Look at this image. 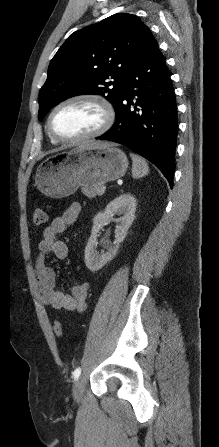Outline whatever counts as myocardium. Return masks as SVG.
Wrapping results in <instances>:
<instances>
[{"mask_svg": "<svg viewBox=\"0 0 219 447\" xmlns=\"http://www.w3.org/2000/svg\"><path fill=\"white\" fill-rule=\"evenodd\" d=\"M74 103H89V104L96 106L102 114V121H101L100 125L95 130L91 131L90 133H88L86 135L75 137V138L61 137L58 134H56L55 131L53 130V127H52L53 117L58 110H60L61 108L65 107L67 105L74 104ZM114 121H115V110H114L113 106L111 105V103L107 99H105L104 97H101L97 94L82 93V94H76V95L70 96V97L62 100L51 110V112L48 116V119H47V131H48L49 135L51 136V138H53L54 140H56L58 142L81 143V142H84V141H87V140H90V139H93V138L103 135L111 128Z\"/></svg>", "mask_w": 219, "mask_h": 447, "instance_id": "1", "label": "myocardium"}]
</instances>
